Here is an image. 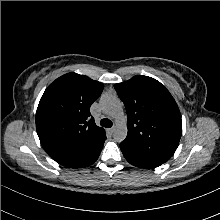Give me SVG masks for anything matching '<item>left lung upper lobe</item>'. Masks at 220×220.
<instances>
[{"mask_svg":"<svg viewBox=\"0 0 220 220\" xmlns=\"http://www.w3.org/2000/svg\"><path fill=\"white\" fill-rule=\"evenodd\" d=\"M114 88L127 111L128 134L121 144L154 160L168 161L182 135L181 114L169 91L143 75Z\"/></svg>","mask_w":220,"mask_h":220,"instance_id":"left-lung-upper-lobe-1","label":"left lung upper lobe"}]
</instances>
